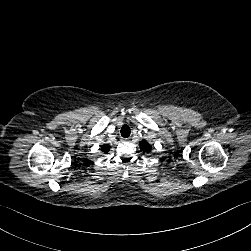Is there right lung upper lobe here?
I'll use <instances>...</instances> for the list:
<instances>
[{
    "label": "right lung upper lobe",
    "mask_w": 251,
    "mask_h": 251,
    "mask_svg": "<svg viewBox=\"0 0 251 251\" xmlns=\"http://www.w3.org/2000/svg\"><path fill=\"white\" fill-rule=\"evenodd\" d=\"M109 149H110V146H108V145L101 146V151L105 154L108 153Z\"/></svg>",
    "instance_id": "cb5924a9"
}]
</instances>
